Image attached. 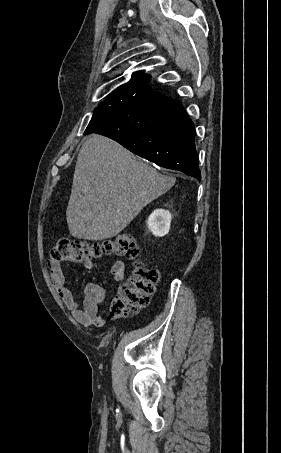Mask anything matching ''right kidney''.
Listing matches in <instances>:
<instances>
[{
  "label": "right kidney",
  "mask_w": 281,
  "mask_h": 453,
  "mask_svg": "<svg viewBox=\"0 0 281 453\" xmlns=\"http://www.w3.org/2000/svg\"><path fill=\"white\" fill-rule=\"evenodd\" d=\"M172 214L165 208H155L148 216V229L155 237H164L170 231Z\"/></svg>",
  "instance_id": "ca27d5eb"
}]
</instances>
